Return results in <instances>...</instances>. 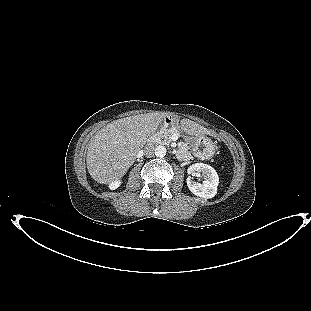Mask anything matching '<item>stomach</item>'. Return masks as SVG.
Instances as JSON below:
<instances>
[{
    "instance_id": "0dacf381",
    "label": "stomach",
    "mask_w": 311,
    "mask_h": 311,
    "mask_svg": "<svg viewBox=\"0 0 311 311\" xmlns=\"http://www.w3.org/2000/svg\"><path fill=\"white\" fill-rule=\"evenodd\" d=\"M176 126L185 134L189 135V142L191 144V149L193 151V154L201 159H209L211 158L215 153V146L210 138L204 136L203 134L198 133H190L188 130L183 128L181 121L178 124L175 123Z\"/></svg>"
}]
</instances>
